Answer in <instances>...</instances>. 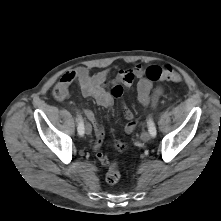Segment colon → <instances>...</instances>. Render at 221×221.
<instances>
[{
    "label": "colon",
    "instance_id": "5ec220e1",
    "mask_svg": "<svg viewBox=\"0 0 221 221\" xmlns=\"http://www.w3.org/2000/svg\"><path fill=\"white\" fill-rule=\"evenodd\" d=\"M146 77L154 82H174L180 83L182 81L181 76L170 66H150L146 69ZM122 86L115 87L113 92L120 99L122 94ZM53 97L56 100H63L67 97L66 89L57 84L53 89ZM127 109H125V112ZM119 143H117V146ZM121 178V173L117 162L112 161L108 166V171L106 173L105 179L108 184H116Z\"/></svg>",
    "mask_w": 221,
    "mask_h": 221
}]
</instances>
